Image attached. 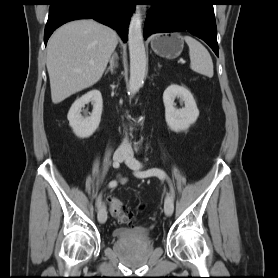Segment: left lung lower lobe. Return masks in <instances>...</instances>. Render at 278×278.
Listing matches in <instances>:
<instances>
[{"mask_svg": "<svg viewBox=\"0 0 278 278\" xmlns=\"http://www.w3.org/2000/svg\"><path fill=\"white\" fill-rule=\"evenodd\" d=\"M215 0H156L146 17L144 38L153 33L187 30L204 40L218 56Z\"/></svg>", "mask_w": 278, "mask_h": 278, "instance_id": "left-lung-lower-lobe-1", "label": "left lung lower lobe"}]
</instances>
